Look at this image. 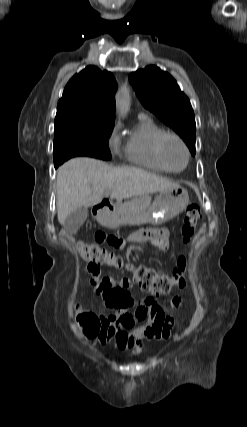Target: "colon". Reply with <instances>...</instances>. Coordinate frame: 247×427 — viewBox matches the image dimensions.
<instances>
[{
	"instance_id": "1",
	"label": "colon",
	"mask_w": 247,
	"mask_h": 427,
	"mask_svg": "<svg viewBox=\"0 0 247 427\" xmlns=\"http://www.w3.org/2000/svg\"><path fill=\"white\" fill-rule=\"evenodd\" d=\"M201 217V210L197 204H191L187 208L181 230L185 243H188L195 235ZM78 252L83 260L90 263L106 265L114 269H126L132 273L134 280L141 290L155 295H163L168 293L173 287H182L185 285L186 260L184 257L178 259L177 266L172 274L167 275L145 265L135 266L126 263L122 257L98 246L96 243L80 242L78 244ZM76 317L84 334L89 339H103L105 329L101 319L96 314L78 309Z\"/></svg>"
}]
</instances>
